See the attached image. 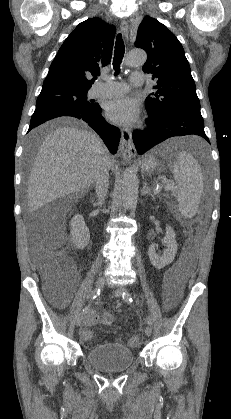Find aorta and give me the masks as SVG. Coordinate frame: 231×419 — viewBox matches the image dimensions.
I'll return each mask as SVG.
<instances>
[{"label": "aorta", "mask_w": 231, "mask_h": 419, "mask_svg": "<svg viewBox=\"0 0 231 419\" xmlns=\"http://www.w3.org/2000/svg\"><path fill=\"white\" fill-rule=\"evenodd\" d=\"M147 60L145 51L136 49L128 53L125 64L127 66H142ZM138 178L136 172L127 170L122 179V201L125 208H130L136 199Z\"/></svg>", "instance_id": "762f6f07"}]
</instances>
